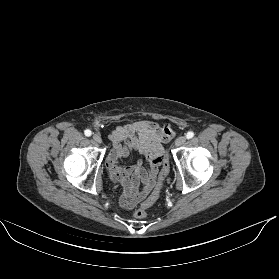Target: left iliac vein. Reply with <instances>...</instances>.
<instances>
[{"instance_id": "4c4485c4", "label": "left iliac vein", "mask_w": 279, "mask_h": 279, "mask_svg": "<svg viewBox=\"0 0 279 279\" xmlns=\"http://www.w3.org/2000/svg\"><path fill=\"white\" fill-rule=\"evenodd\" d=\"M185 142H186V137L180 136V137H178V138L176 139L175 145H176L177 147H179V146L184 145Z\"/></svg>"}]
</instances>
